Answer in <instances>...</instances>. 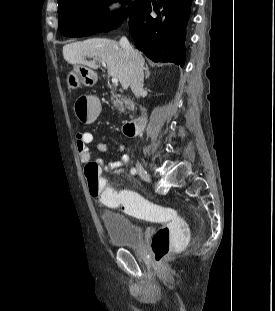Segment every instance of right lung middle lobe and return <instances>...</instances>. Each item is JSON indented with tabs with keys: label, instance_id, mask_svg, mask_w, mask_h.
Instances as JSON below:
<instances>
[{
	"label": "right lung middle lobe",
	"instance_id": "right-lung-middle-lobe-1",
	"mask_svg": "<svg viewBox=\"0 0 275 311\" xmlns=\"http://www.w3.org/2000/svg\"><path fill=\"white\" fill-rule=\"evenodd\" d=\"M145 0H69L58 5L59 31L69 37H78L82 28H92L96 32L110 31L122 21L126 8L119 12L108 13V5L113 2L129 3L131 15L143 5ZM94 33V34H95Z\"/></svg>",
	"mask_w": 275,
	"mask_h": 311
}]
</instances>
